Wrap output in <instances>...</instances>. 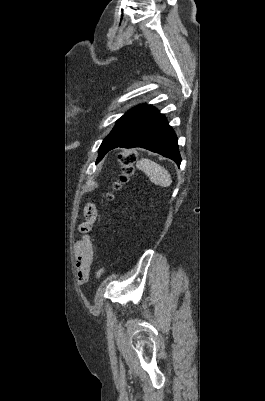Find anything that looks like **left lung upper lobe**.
Segmentation results:
<instances>
[{"label": "left lung upper lobe", "instance_id": "5c2ea615", "mask_svg": "<svg viewBox=\"0 0 265 401\" xmlns=\"http://www.w3.org/2000/svg\"><path fill=\"white\" fill-rule=\"evenodd\" d=\"M145 107V105H139L136 106L134 108H132L131 110H129L125 115H123L116 123V126L113 128L112 131H114L121 123H123L127 118H129L130 116L134 115L135 113H137L138 111H140L141 109H143ZM111 131V132H112Z\"/></svg>", "mask_w": 265, "mask_h": 401}]
</instances>
